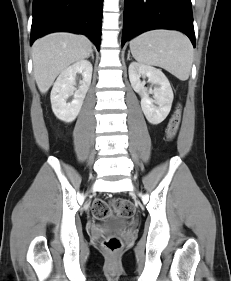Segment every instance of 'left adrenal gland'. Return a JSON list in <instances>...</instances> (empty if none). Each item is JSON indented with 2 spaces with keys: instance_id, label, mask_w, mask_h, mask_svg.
Returning <instances> with one entry per match:
<instances>
[{
  "instance_id": "left-adrenal-gland-1",
  "label": "left adrenal gland",
  "mask_w": 231,
  "mask_h": 281,
  "mask_svg": "<svg viewBox=\"0 0 231 281\" xmlns=\"http://www.w3.org/2000/svg\"><path fill=\"white\" fill-rule=\"evenodd\" d=\"M127 60H130V51H128V57Z\"/></svg>"
}]
</instances>
